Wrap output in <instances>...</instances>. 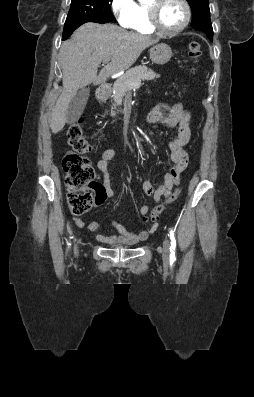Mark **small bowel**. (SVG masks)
<instances>
[{
	"instance_id": "small-bowel-1",
	"label": "small bowel",
	"mask_w": 254,
	"mask_h": 397,
	"mask_svg": "<svg viewBox=\"0 0 254 397\" xmlns=\"http://www.w3.org/2000/svg\"><path fill=\"white\" fill-rule=\"evenodd\" d=\"M190 122L191 115L184 108L182 103H176L172 106L166 103H160L156 105L146 117L147 124L161 123L168 128H176L177 130L174 138L168 143V148L170 150V167L165 173L161 184L158 187H154L148 179H145L142 185L144 192L152 196L156 203H158L161 198H167L170 195L173 187L179 183L181 173L188 166V154L185 150V146L189 143L191 138ZM115 154L116 152L114 149H107L97 162V168L102 176V183H98L99 197L95 204L96 207L101 206L107 199L115 196L111 185L109 168V163ZM148 209V206L143 205L138 211L140 214L144 215L148 212ZM111 223L116 229L117 234H105L101 226L95 221H91L87 227L94 233L95 238L99 242L108 245H132L146 240L158 226L157 223H154L151 228L135 233L127 230L114 218H112ZM75 224L79 227L85 226L84 221L80 218L75 219Z\"/></svg>"
}]
</instances>
